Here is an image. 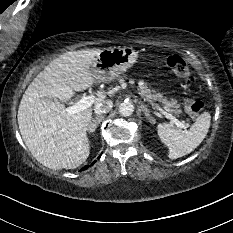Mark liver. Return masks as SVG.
Listing matches in <instances>:
<instances>
[{
    "instance_id": "1",
    "label": "liver",
    "mask_w": 233,
    "mask_h": 233,
    "mask_svg": "<svg viewBox=\"0 0 233 233\" xmlns=\"http://www.w3.org/2000/svg\"><path fill=\"white\" fill-rule=\"evenodd\" d=\"M100 49L67 52L50 62L30 83L18 109L23 141L34 158L50 169H75L89 156L87 127L92 108L73 115L65 112L74 91H83L98 80L91 72ZM106 99L98 91L94 104ZM60 101V102H59Z\"/></svg>"
}]
</instances>
